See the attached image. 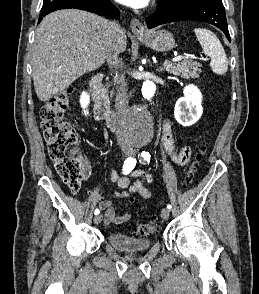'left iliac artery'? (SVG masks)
Masks as SVG:
<instances>
[{
    "instance_id": "left-iliac-artery-1",
    "label": "left iliac artery",
    "mask_w": 259,
    "mask_h": 294,
    "mask_svg": "<svg viewBox=\"0 0 259 294\" xmlns=\"http://www.w3.org/2000/svg\"><path fill=\"white\" fill-rule=\"evenodd\" d=\"M150 157H151V155L149 154V152L142 151V153H141V158H140V162H142V161L150 162ZM167 208H168V209H171L172 206H171L170 204H168V205H167Z\"/></svg>"
}]
</instances>
